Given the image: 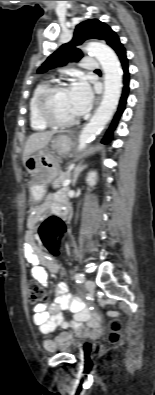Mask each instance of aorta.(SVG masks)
<instances>
[{"label": "aorta", "instance_id": "1", "mask_svg": "<svg viewBox=\"0 0 155 395\" xmlns=\"http://www.w3.org/2000/svg\"><path fill=\"white\" fill-rule=\"evenodd\" d=\"M84 51L93 55L102 66L104 72V94L100 106L81 131L79 150H83L110 121L118 105L122 90V70L114 51L101 43H90L84 48Z\"/></svg>", "mask_w": 155, "mask_h": 395}]
</instances>
